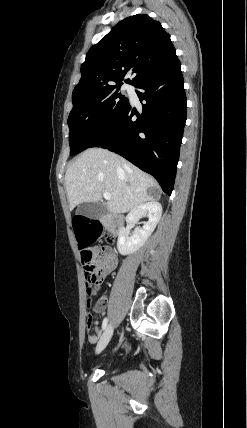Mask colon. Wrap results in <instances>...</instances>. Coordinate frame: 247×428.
<instances>
[{
	"instance_id": "1",
	"label": "colon",
	"mask_w": 247,
	"mask_h": 428,
	"mask_svg": "<svg viewBox=\"0 0 247 428\" xmlns=\"http://www.w3.org/2000/svg\"><path fill=\"white\" fill-rule=\"evenodd\" d=\"M72 218V224L75 226L76 250L81 251L85 280L89 285L96 284L101 279L106 260L102 255L95 257L94 252L89 250V245L98 243L99 238L104 235L103 228L97 221H93L92 217H87L85 212H74ZM105 238L108 243L113 242L111 235H106ZM91 325L92 315L89 314L87 327L90 328Z\"/></svg>"
}]
</instances>
